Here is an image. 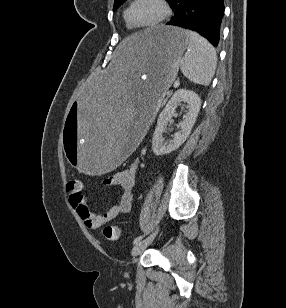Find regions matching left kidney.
Segmentation results:
<instances>
[{
    "label": "left kidney",
    "instance_id": "left-kidney-1",
    "mask_svg": "<svg viewBox=\"0 0 286 308\" xmlns=\"http://www.w3.org/2000/svg\"><path fill=\"white\" fill-rule=\"evenodd\" d=\"M182 102L188 104V112L184 116V120L179 123L180 130L174 134L173 139L165 141L163 133L167 122L172 118L177 106ZM200 107L201 99L194 91L179 89L173 94L157 120V126L152 138V150L155 155L169 154L186 141L194 126Z\"/></svg>",
    "mask_w": 286,
    "mask_h": 308
}]
</instances>
